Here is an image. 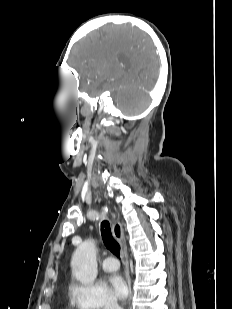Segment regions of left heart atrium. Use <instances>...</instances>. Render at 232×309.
<instances>
[{
    "instance_id": "1",
    "label": "left heart atrium",
    "mask_w": 232,
    "mask_h": 309,
    "mask_svg": "<svg viewBox=\"0 0 232 309\" xmlns=\"http://www.w3.org/2000/svg\"><path fill=\"white\" fill-rule=\"evenodd\" d=\"M110 290L113 295L119 299L124 300L129 294V288L126 280L119 274H113L109 278Z\"/></svg>"
}]
</instances>
